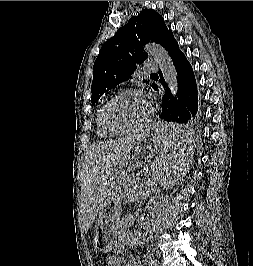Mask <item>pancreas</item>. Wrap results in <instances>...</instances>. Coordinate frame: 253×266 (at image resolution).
Wrapping results in <instances>:
<instances>
[{
    "label": "pancreas",
    "mask_w": 253,
    "mask_h": 266,
    "mask_svg": "<svg viewBox=\"0 0 253 266\" xmlns=\"http://www.w3.org/2000/svg\"><path fill=\"white\" fill-rule=\"evenodd\" d=\"M137 182H138V185L134 186V184ZM154 182H155V178L151 177V178L142 180L139 184V180L137 176L135 174H131L124 179V182H123L124 191H123L122 197L129 202L139 201L140 199H143L147 196L146 193H140V192H143V188L145 187V185L149 184L150 186Z\"/></svg>",
    "instance_id": "cf45deb5"
}]
</instances>
